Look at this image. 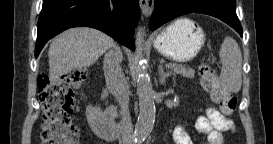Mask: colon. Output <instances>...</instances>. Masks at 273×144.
<instances>
[{"instance_id":"1","label":"colon","mask_w":273,"mask_h":144,"mask_svg":"<svg viewBox=\"0 0 273 144\" xmlns=\"http://www.w3.org/2000/svg\"><path fill=\"white\" fill-rule=\"evenodd\" d=\"M199 72L203 89L210 94L222 114H233L237 107V98L223 88L215 66L203 64ZM85 78V69L74 68L58 81H51L46 76L40 79L39 98L44 108L41 133L43 144L77 143L79 131L71 120L74 109L73 88L80 86Z\"/></svg>"}]
</instances>
